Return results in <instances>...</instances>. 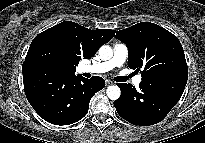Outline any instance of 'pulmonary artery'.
Segmentation results:
<instances>
[{"label":"pulmonary artery","mask_w":205,"mask_h":143,"mask_svg":"<svg viewBox=\"0 0 205 143\" xmlns=\"http://www.w3.org/2000/svg\"><path fill=\"white\" fill-rule=\"evenodd\" d=\"M128 56V48L123 43H116L113 46V56L111 59L90 64V65H81L79 71L82 73H91V74H102L106 73L114 68L121 67L126 61ZM142 81L141 75H137L133 78L132 82L134 85H139Z\"/></svg>","instance_id":"1"}]
</instances>
